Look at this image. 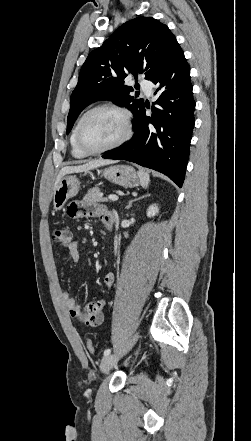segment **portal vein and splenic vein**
<instances>
[{"mask_svg": "<svg viewBox=\"0 0 251 441\" xmlns=\"http://www.w3.org/2000/svg\"><path fill=\"white\" fill-rule=\"evenodd\" d=\"M108 198L111 201H117L118 200V196H116V195H109Z\"/></svg>", "mask_w": 251, "mask_h": 441, "instance_id": "18ae733b", "label": "portal vein and splenic vein"}]
</instances>
